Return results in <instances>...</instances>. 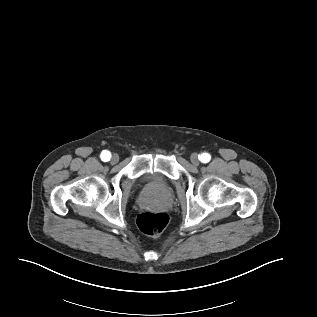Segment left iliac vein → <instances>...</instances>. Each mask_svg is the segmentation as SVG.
Returning <instances> with one entry per match:
<instances>
[{
    "instance_id": "left-iliac-vein-1",
    "label": "left iliac vein",
    "mask_w": 317,
    "mask_h": 317,
    "mask_svg": "<svg viewBox=\"0 0 317 317\" xmlns=\"http://www.w3.org/2000/svg\"><path fill=\"white\" fill-rule=\"evenodd\" d=\"M190 160L194 166H198L200 163L199 155L197 153H193L190 157Z\"/></svg>"
}]
</instances>
